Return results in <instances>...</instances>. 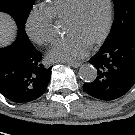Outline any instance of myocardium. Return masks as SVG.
<instances>
[{"instance_id": "f54148a6", "label": "myocardium", "mask_w": 135, "mask_h": 135, "mask_svg": "<svg viewBox=\"0 0 135 135\" xmlns=\"http://www.w3.org/2000/svg\"><path fill=\"white\" fill-rule=\"evenodd\" d=\"M83 1L84 0H77L75 2L71 12L69 13V15L67 16L65 21H70L77 17L80 6ZM106 2H107V19H106L105 28H104L103 32L101 33V35L94 42H92L90 44V47H96V46L102 44L110 33V30L112 27V22H113V3H112V0H106Z\"/></svg>"}]
</instances>
